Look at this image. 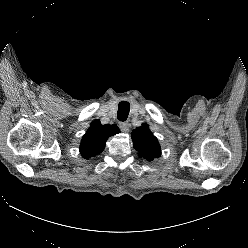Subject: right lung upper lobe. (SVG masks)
<instances>
[{
	"label": "right lung upper lobe",
	"instance_id": "cb5924a9",
	"mask_svg": "<svg viewBox=\"0 0 248 248\" xmlns=\"http://www.w3.org/2000/svg\"><path fill=\"white\" fill-rule=\"evenodd\" d=\"M117 125H102L99 120H95L90 124L89 129L83 136L80 144V153L85 159L100 154L104 148L109 136L119 133Z\"/></svg>",
	"mask_w": 248,
	"mask_h": 248
}]
</instances>
